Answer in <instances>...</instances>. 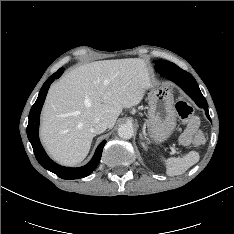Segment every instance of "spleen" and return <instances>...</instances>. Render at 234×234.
Listing matches in <instances>:
<instances>
[{
  "label": "spleen",
  "instance_id": "1",
  "mask_svg": "<svg viewBox=\"0 0 234 234\" xmlns=\"http://www.w3.org/2000/svg\"><path fill=\"white\" fill-rule=\"evenodd\" d=\"M199 153L196 151L189 152L183 158L171 157L165 159L166 174L168 176H176L186 172L192 165L199 161Z\"/></svg>",
  "mask_w": 234,
  "mask_h": 234
}]
</instances>
